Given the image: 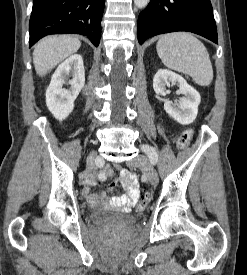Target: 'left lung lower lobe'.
<instances>
[{
  "instance_id": "0a47b994",
  "label": "left lung lower lobe",
  "mask_w": 247,
  "mask_h": 275,
  "mask_svg": "<svg viewBox=\"0 0 247 275\" xmlns=\"http://www.w3.org/2000/svg\"><path fill=\"white\" fill-rule=\"evenodd\" d=\"M137 29L140 44L149 37L174 31L218 41L210 0H151L139 15Z\"/></svg>"
}]
</instances>
